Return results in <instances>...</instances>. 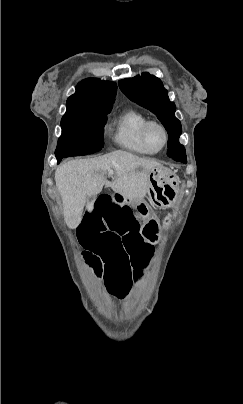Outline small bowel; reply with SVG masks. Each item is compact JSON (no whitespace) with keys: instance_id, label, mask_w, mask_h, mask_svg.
Segmentation results:
<instances>
[{"instance_id":"1","label":"small bowel","mask_w":243,"mask_h":404,"mask_svg":"<svg viewBox=\"0 0 243 404\" xmlns=\"http://www.w3.org/2000/svg\"><path fill=\"white\" fill-rule=\"evenodd\" d=\"M140 227L130 204L119 202L114 193H105L87 208L78 228L83 259L115 296L124 297L153 258V248L145 242Z\"/></svg>"}]
</instances>
